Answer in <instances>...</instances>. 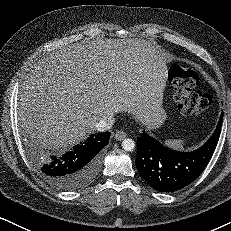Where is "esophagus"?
<instances>
[{
  "mask_svg": "<svg viewBox=\"0 0 231 231\" xmlns=\"http://www.w3.org/2000/svg\"><path fill=\"white\" fill-rule=\"evenodd\" d=\"M114 137L117 141H121L126 137V133L124 131H116Z\"/></svg>",
  "mask_w": 231,
  "mask_h": 231,
  "instance_id": "34e87169",
  "label": "esophagus"
}]
</instances>
